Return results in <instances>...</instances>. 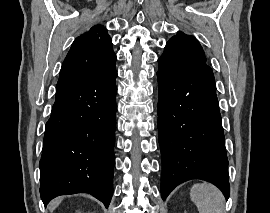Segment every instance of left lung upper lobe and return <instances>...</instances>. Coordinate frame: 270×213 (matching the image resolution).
I'll list each match as a JSON object with an SVG mask.
<instances>
[{
  "mask_svg": "<svg viewBox=\"0 0 270 213\" xmlns=\"http://www.w3.org/2000/svg\"><path fill=\"white\" fill-rule=\"evenodd\" d=\"M158 62L161 72L171 74L198 72L214 79L212 69L206 64V57L199 42L181 31L166 43L164 53Z\"/></svg>",
  "mask_w": 270,
  "mask_h": 213,
  "instance_id": "5c2ea615",
  "label": "left lung upper lobe"
}]
</instances>
